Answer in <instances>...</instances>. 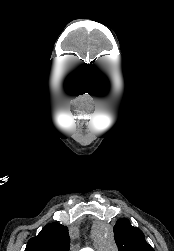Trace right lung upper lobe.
Here are the masks:
<instances>
[{"instance_id":"right-lung-upper-lobe-1","label":"right lung upper lobe","mask_w":174,"mask_h":251,"mask_svg":"<svg viewBox=\"0 0 174 251\" xmlns=\"http://www.w3.org/2000/svg\"><path fill=\"white\" fill-rule=\"evenodd\" d=\"M68 228L53 222L28 241L25 251H69Z\"/></svg>"}]
</instances>
